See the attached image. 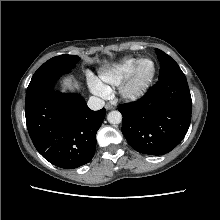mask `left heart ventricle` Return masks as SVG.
I'll use <instances>...</instances> for the list:
<instances>
[{"label":"left heart ventricle","mask_w":220,"mask_h":220,"mask_svg":"<svg viewBox=\"0 0 220 220\" xmlns=\"http://www.w3.org/2000/svg\"><path fill=\"white\" fill-rule=\"evenodd\" d=\"M152 68L153 66L151 61L146 60L142 62L136 72V76H135L136 84H141L144 81H146L152 72Z\"/></svg>","instance_id":"obj_1"}]
</instances>
